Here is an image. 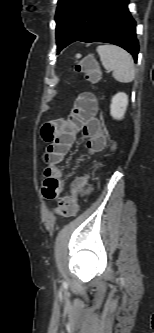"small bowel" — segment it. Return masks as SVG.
<instances>
[{"label": "small bowel", "mask_w": 154, "mask_h": 333, "mask_svg": "<svg viewBox=\"0 0 154 333\" xmlns=\"http://www.w3.org/2000/svg\"><path fill=\"white\" fill-rule=\"evenodd\" d=\"M98 103L90 92L81 93L75 100L73 109L66 119L46 122L41 135L47 147L44 159L42 193L46 199L57 198L64 183L60 164L72 147L79 132L87 138L86 146L91 154L102 151L107 146V134L97 118Z\"/></svg>", "instance_id": "small-bowel-1"}]
</instances>
